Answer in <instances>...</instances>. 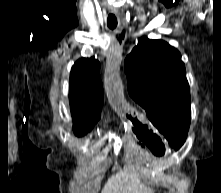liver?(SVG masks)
Returning a JSON list of instances; mask_svg holds the SVG:
<instances>
[{
	"label": "liver",
	"mask_w": 221,
	"mask_h": 193,
	"mask_svg": "<svg viewBox=\"0 0 221 193\" xmlns=\"http://www.w3.org/2000/svg\"><path fill=\"white\" fill-rule=\"evenodd\" d=\"M126 172L121 171L110 177L105 184L102 193H135L133 191V181H128Z\"/></svg>",
	"instance_id": "liver-1"
}]
</instances>
